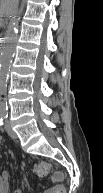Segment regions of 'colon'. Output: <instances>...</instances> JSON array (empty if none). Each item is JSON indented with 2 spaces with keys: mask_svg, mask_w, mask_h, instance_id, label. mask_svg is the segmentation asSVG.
I'll use <instances>...</instances> for the list:
<instances>
[{
  "mask_svg": "<svg viewBox=\"0 0 103 193\" xmlns=\"http://www.w3.org/2000/svg\"><path fill=\"white\" fill-rule=\"evenodd\" d=\"M36 172H37L38 176L46 177L51 172V166L49 163H47L45 161H41L36 165ZM55 181H61V176L56 175ZM62 193H64V191H62Z\"/></svg>",
  "mask_w": 103,
  "mask_h": 193,
  "instance_id": "colon-1",
  "label": "colon"
}]
</instances>
